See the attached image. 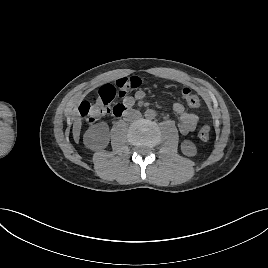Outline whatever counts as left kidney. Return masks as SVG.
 <instances>
[{"label":"left kidney","mask_w":268,"mask_h":268,"mask_svg":"<svg viewBox=\"0 0 268 268\" xmlns=\"http://www.w3.org/2000/svg\"><path fill=\"white\" fill-rule=\"evenodd\" d=\"M181 151L186 156H195L197 153V148L195 144L190 140H184L181 143Z\"/></svg>","instance_id":"1"}]
</instances>
